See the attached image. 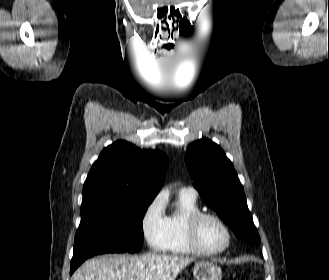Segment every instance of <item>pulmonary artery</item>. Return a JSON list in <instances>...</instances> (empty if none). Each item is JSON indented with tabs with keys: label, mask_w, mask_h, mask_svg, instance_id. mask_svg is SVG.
Listing matches in <instances>:
<instances>
[{
	"label": "pulmonary artery",
	"mask_w": 329,
	"mask_h": 280,
	"mask_svg": "<svg viewBox=\"0 0 329 280\" xmlns=\"http://www.w3.org/2000/svg\"><path fill=\"white\" fill-rule=\"evenodd\" d=\"M181 191L182 192H185V193H187V194H189V195H191L193 197H197L198 196L197 190L194 187H191V186L184 187V188L181 189Z\"/></svg>",
	"instance_id": "obj_1"
}]
</instances>
